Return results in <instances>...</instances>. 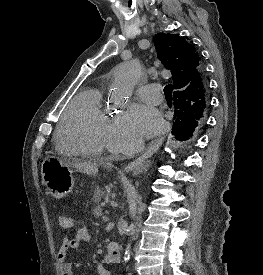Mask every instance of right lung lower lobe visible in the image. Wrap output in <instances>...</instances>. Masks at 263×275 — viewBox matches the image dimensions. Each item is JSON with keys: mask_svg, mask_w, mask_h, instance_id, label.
Masks as SVG:
<instances>
[{"mask_svg": "<svg viewBox=\"0 0 263 275\" xmlns=\"http://www.w3.org/2000/svg\"><path fill=\"white\" fill-rule=\"evenodd\" d=\"M198 75L205 79L203 68L200 67ZM174 117H173V129L172 134L178 140H187L193 136V133L197 131L204 120L205 115L200 113H193L185 108L184 94L178 92L174 93Z\"/></svg>", "mask_w": 263, "mask_h": 275, "instance_id": "obj_1", "label": "right lung lower lobe"}]
</instances>
